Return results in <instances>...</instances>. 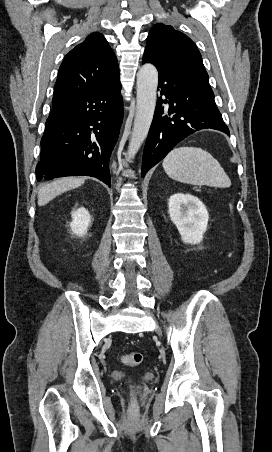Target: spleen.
<instances>
[{
	"instance_id": "1",
	"label": "spleen",
	"mask_w": 272,
	"mask_h": 452,
	"mask_svg": "<svg viewBox=\"0 0 272 452\" xmlns=\"http://www.w3.org/2000/svg\"><path fill=\"white\" fill-rule=\"evenodd\" d=\"M162 165L170 178L182 183L222 188L231 186V180L219 162L201 148H175L164 158Z\"/></svg>"
}]
</instances>
